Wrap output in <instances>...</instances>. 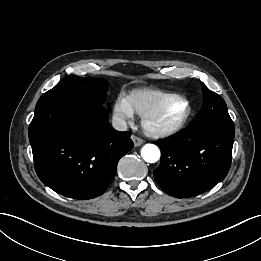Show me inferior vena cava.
Here are the masks:
<instances>
[{"label":"inferior vena cava","instance_id":"602c4592","mask_svg":"<svg viewBox=\"0 0 261 261\" xmlns=\"http://www.w3.org/2000/svg\"><path fill=\"white\" fill-rule=\"evenodd\" d=\"M112 126L117 131H126L127 130L126 121L118 116H113Z\"/></svg>","mask_w":261,"mask_h":261}]
</instances>
